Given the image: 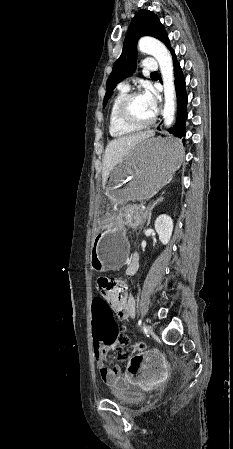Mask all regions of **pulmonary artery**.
<instances>
[{"label": "pulmonary artery", "mask_w": 233, "mask_h": 449, "mask_svg": "<svg viewBox=\"0 0 233 449\" xmlns=\"http://www.w3.org/2000/svg\"><path fill=\"white\" fill-rule=\"evenodd\" d=\"M157 68L156 61L153 58H148L144 62V69L147 71H154ZM120 87L129 88V84L124 82L120 85Z\"/></svg>", "instance_id": "1"}]
</instances>
